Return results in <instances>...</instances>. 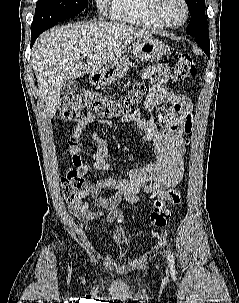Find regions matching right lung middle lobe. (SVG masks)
<instances>
[{
	"mask_svg": "<svg viewBox=\"0 0 239 303\" xmlns=\"http://www.w3.org/2000/svg\"><path fill=\"white\" fill-rule=\"evenodd\" d=\"M88 8V0H38L31 30L48 29Z\"/></svg>",
	"mask_w": 239,
	"mask_h": 303,
	"instance_id": "right-lung-middle-lobe-1",
	"label": "right lung middle lobe"
}]
</instances>
